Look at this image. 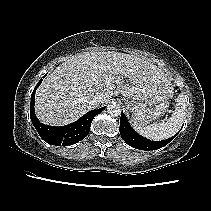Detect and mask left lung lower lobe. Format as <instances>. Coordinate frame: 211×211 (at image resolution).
<instances>
[{"label": "left lung lower lobe", "instance_id": "left-lung-lower-lobe-1", "mask_svg": "<svg viewBox=\"0 0 211 211\" xmlns=\"http://www.w3.org/2000/svg\"><path fill=\"white\" fill-rule=\"evenodd\" d=\"M120 135L128 145L140 150H156L162 148L166 146L176 136L174 135L173 137L166 139L164 141H150L137 134L130 127L123 112L121 113V118H120Z\"/></svg>", "mask_w": 211, "mask_h": 211}]
</instances>
